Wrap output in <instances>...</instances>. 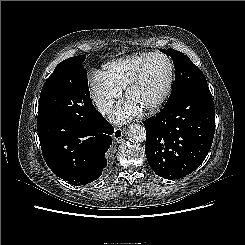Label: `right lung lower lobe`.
Returning <instances> with one entry per match:
<instances>
[{"mask_svg": "<svg viewBox=\"0 0 245 245\" xmlns=\"http://www.w3.org/2000/svg\"><path fill=\"white\" fill-rule=\"evenodd\" d=\"M37 130L44 160L58 177L80 186L101 176L114 129L95 107L85 122L38 118Z\"/></svg>", "mask_w": 245, "mask_h": 245, "instance_id": "1", "label": "right lung lower lobe"}]
</instances>
